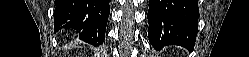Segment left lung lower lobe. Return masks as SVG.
I'll list each match as a JSON object with an SVG mask.
<instances>
[{
  "mask_svg": "<svg viewBox=\"0 0 249 57\" xmlns=\"http://www.w3.org/2000/svg\"><path fill=\"white\" fill-rule=\"evenodd\" d=\"M149 40L160 50L176 44L192 50L198 28L197 0H149Z\"/></svg>",
  "mask_w": 249,
  "mask_h": 57,
  "instance_id": "1",
  "label": "left lung lower lobe"
}]
</instances>
